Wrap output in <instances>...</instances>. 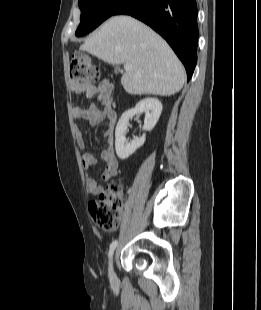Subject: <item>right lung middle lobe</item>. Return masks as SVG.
I'll return each instance as SVG.
<instances>
[{"label":"right lung middle lobe","mask_w":261,"mask_h":310,"mask_svg":"<svg viewBox=\"0 0 261 310\" xmlns=\"http://www.w3.org/2000/svg\"><path fill=\"white\" fill-rule=\"evenodd\" d=\"M127 0H79L81 9V23L76 30V36H83L104 20L112 16L114 12Z\"/></svg>","instance_id":"dd1d6c3e"}]
</instances>
